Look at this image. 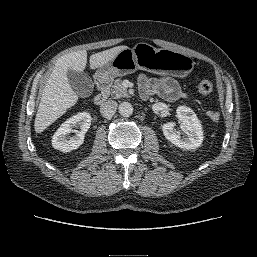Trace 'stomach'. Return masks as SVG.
Segmentation results:
<instances>
[{
  "instance_id": "obj_1",
  "label": "stomach",
  "mask_w": 257,
  "mask_h": 257,
  "mask_svg": "<svg viewBox=\"0 0 257 257\" xmlns=\"http://www.w3.org/2000/svg\"><path fill=\"white\" fill-rule=\"evenodd\" d=\"M194 64L193 59L186 54L138 43L132 49L122 50L112 61L100 67L96 76L101 80H111L141 69L156 74L185 77L193 70Z\"/></svg>"
}]
</instances>
